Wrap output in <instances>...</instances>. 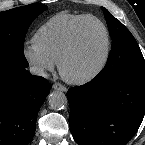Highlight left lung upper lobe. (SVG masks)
<instances>
[{
	"label": "left lung upper lobe",
	"mask_w": 145,
	"mask_h": 145,
	"mask_svg": "<svg viewBox=\"0 0 145 145\" xmlns=\"http://www.w3.org/2000/svg\"><path fill=\"white\" fill-rule=\"evenodd\" d=\"M102 10L112 38V49L106 66L95 78L105 80L119 73L145 70V60L133 35L107 9L102 7Z\"/></svg>",
	"instance_id": "1"
}]
</instances>
